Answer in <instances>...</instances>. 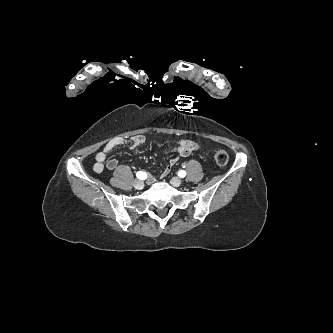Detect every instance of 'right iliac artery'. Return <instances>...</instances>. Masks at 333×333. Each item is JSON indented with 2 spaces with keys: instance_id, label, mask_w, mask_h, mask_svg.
<instances>
[{
  "instance_id": "right-iliac-artery-1",
  "label": "right iliac artery",
  "mask_w": 333,
  "mask_h": 333,
  "mask_svg": "<svg viewBox=\"0 0 333 333\" xmlns=\"http://www.w3.org/2000/svg\"><path fill=\"white\" fill-rule=\"evenodd\" d=\"M136 176H137L138 179L144 180L147 177V174H146V172L139 171V172L136 173Z\"/></svg>"
}]
</instances>
